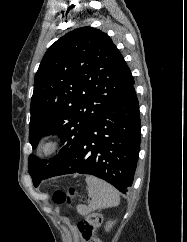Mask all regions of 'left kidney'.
I'll list each match as a JSON object with an SVG mask.
<instances>
[{"instance_id": "1", "label": "left kidney", "mask_w": 187, "mask_h": 242, "mask_svg": "<svg viewBox=\"0 0 187 242\" xmlns=\"http://www.w3.org/2000/svg\"><path fill=\"white\" fill-rule=\"evenodd\" d=\"M114 224V222H112V221H109L108 223H107V225H106V231H109V229L112 227V225Z\"/></svg>"}]
</instances>
